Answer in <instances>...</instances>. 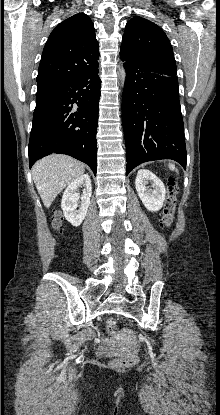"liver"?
Wrapping results in <instances>:
<instances>
[{
	"label": "liver",
	"instance_id": "obj_1",
	"mask_svg": "<svg viewBox=\"0 0 220 415\" xmlns=\"http://www.w3.org/2000/svg\"><path fill=\"white\" fill-rule=\"evenodd\" d=\"M84 171L82 163L66 155L54 154L36 162L32 177L44 206L49 208L56 196Z\"/></svg>",
	"mask_w": 220,
	"mask_h": 415
}]
</instances>
